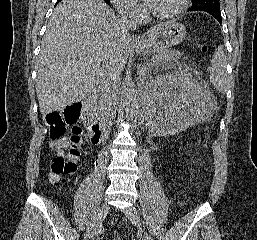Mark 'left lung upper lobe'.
<instances>
[{
  "label": "left lung upper lobe",
  "instance_id": "obj_1",
  "mask_svg": "<svg viewBox=\"0 0 257 240\" xmlns=\"http://www.w3.org/2000/svg\"><path fill=\"white\" fill-rule=\"evenodd\" d=\"M204 9L220 10L219 0H192V6L189 10L200 11Z\"/></svg>",
  "mask_w": 257,
  "mask_h": 240
}]
</instances>
